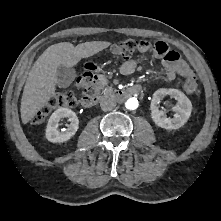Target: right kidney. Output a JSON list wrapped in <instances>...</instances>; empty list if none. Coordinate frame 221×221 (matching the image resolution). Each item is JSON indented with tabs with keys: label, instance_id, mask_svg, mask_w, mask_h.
I'll return each instance as SVG.
<instances>
[{
	"label": "right kidney",
	"instance_id": "obj_1",
	"mask_svg": "<svg viewBox=\"0 0 221 221\" xmlns=\"http://www.w3.org/2000/svg\"><path fill=\"white\" fill-rule=\"evenodd\" d=\"M63 118H68L71 122L67 129L59 130V122ZM79 128V120L74 111L68 108H59L52 113L50 116L45 136L48 141L53 143H61L68 141L72 136L75 135Z\"/></svg>",
	"mask_w": 221,
	"mask_h": 221
}]
</instances>
